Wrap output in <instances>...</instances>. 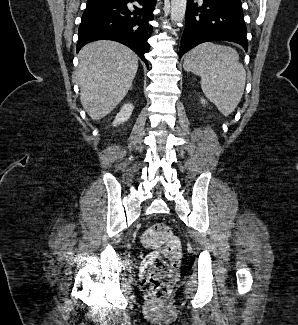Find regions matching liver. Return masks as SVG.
<instances>
[{"mask_svg":"<svg viewBox=\"0 0 298 325\" xmlns=\"http://www.w3.org/2000/svg\"><path fill=\"white\" fill-rule=\"evenodd\" d=\"M78 56L80 102L93 120H100L127 94L137 72L138 56L113 40L89 42Z\"/></svg>","mask_w":298,"mask_h":325,"instance_id":"liver-1","label":"liver"}]
</instances>
